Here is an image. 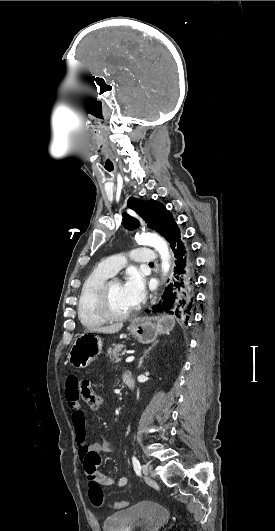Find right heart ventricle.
Masks as SVG:
<instances>
[{
    "mask_svg": "<svg viewBox=\"0 0 275 531\" xmlns=\"http://www.w3.org/2000/svg\"><path fill=\"white\" fill-rule=\"evenodd\" d=\"M109 276L111 274L104 270H96L84 280L81 286L77 301V313L80 322L85 327H98L106 322V319L96 309L95 299L100 285Z\"/></svg>",
    "mask_w": 275,
    "mask_h": 531,
    "instance_id": "e07e8e85",
    "label": "right heart ventricle"
}]
</instances>
